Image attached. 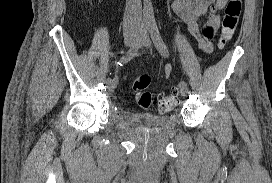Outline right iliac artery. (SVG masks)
Returning <instances> with one entry per match:
<instances>
[{"label":"right iliac artery","mask_w":272,"mask_h":183,"mask_svg":"<svg viewBox=\"0 0 272 183\" xmlns=\"http://www.w3.org/2000/svg\"><path fill=\"white\" fill-rule=\"evenodd\" d=\"M149 29V26L146 24H143L141 26L140 35L141 38L144 37L147 34V30ZM140 45L136 43L133 45L124 56L121 57L120 61L118 62V65L122 66L125 63H128L136 54L139 49ZM107 80L109 81H117L118 77L115 73H113Z\"/></svg>","instance_id":"82829eb1"}]
</instances>
